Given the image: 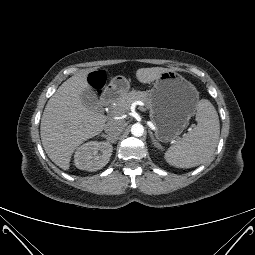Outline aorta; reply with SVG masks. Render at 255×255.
<instances>
[{
    "instance_id": "aorta-1",
    "label": "aorta",
    "mask_w": 255,
    "mask_h": 255,
    "mask_svg": "<svg viewBox=\"0 0 255 255\" xmlns=\"http://www.w3.org/2000/svg\"><path fill=\"white\" fill-rule=\"evenodd\" d=\"M131 133L135 137H140L144 133V127L139 123L133 124L131 127Z\"/></svg>"
}]
</instances>
